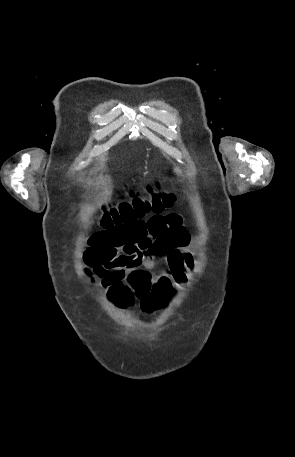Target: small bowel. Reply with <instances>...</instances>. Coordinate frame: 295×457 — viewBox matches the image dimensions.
<instances>
[{
	"mask_svg": "<svg viewBox=\"0 0 295 457\" xmlns=\"http://www.w3.org/2000/svg\"><path fill=\"white\" fill-rule=\"evenodd\" d=\"M182 221L178 213L155 214L131 225L98 230L88 238L85 263L93 270L95 263L108 255L123 253L128 246H135L140 251L136 256L139 264L128 269L125 278L133 294L145 283L182 286L195 269L191 237ZM159 257L164 259L166 269L154 275L151 271L156 268Z\"/></svg>",
	"mask_w": 295,
	"mask_h": 457,
	"instance_id": "small-bowel-1",
	"label": "small bowel"
}]
</instances>
